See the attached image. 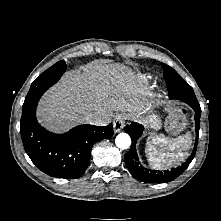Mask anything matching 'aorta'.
Returning a JSON list of instances; mask_svg holds the SVG:
<instances>
[{
    "label": "aorta",
    "instance_id": "aorta-1",
    "mask_svg": "<svg viewBox=\"0 0 221 221\" xmlns=\"http://www.w3.org/2000/svg\"><path fill=\"white\" fill-rule=\"evenodd\" d=\"M116 146L122 150L127 149L131 145V138L126 133H120L115 139Z\"/></svg>",
    "mask_w": 221,
    "mask_h": 221
}]
</instances>
